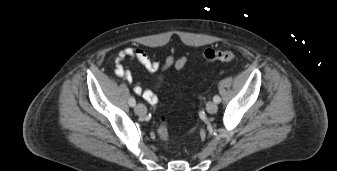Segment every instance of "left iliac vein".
<instances>
[{
    "mask_svg": "<svg viewBox=\"0 0 337 171\" xmlns=\"http://www.w3.org/2000/svg\"><path fill=\"white\" fill-rule=\"evenodd\" d=\"M217 109H218V106L215 102L210 101L206 105V110L210 114L216 113Z\"/></svg>",
    "mask_w": 337,
    "mask_h": 171,
    "instance_id": "1",
    "label": "left iliac vein"
}]
</instances>
